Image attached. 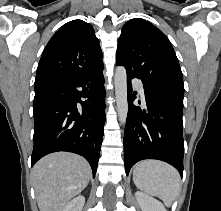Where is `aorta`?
<instances>
[{
  "label": "aorta",
  "mask_w": 221,
  "mask_h": 211,
  "mask_svg": "<svg viewBox=\"0 0 221 211\" xmlns=\"http://www.w3.org/2000/svg\"><path fill=\"white\" fill-rule=\"evenodd\" d=\"M114 81L119 121L121 124H125L128 114L127 73L125 67L118 66L116 68Z\"/></svg>",
  "instance_id": "762f6f07"
}]
</instances>
